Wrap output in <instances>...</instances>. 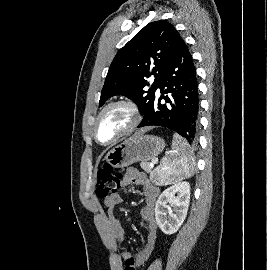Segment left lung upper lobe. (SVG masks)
Masks as SVG:
<instances>
[{
  "label": "left lung upper lobe",
  "mask_w": 267,
  "mask_h": 270,
  "mask_svg": "<svg viewBox=\"0 0 267 270\" xmlns=\"http://www.w3.org/2000/svg\"><path fill=\"white\" fill-rule=\"evenodd\" d=\"M177 30L167 21H155L142 28L113 59L99 105L115 95H124L145 115L159 88L167 67L181 42ZM154 75L152 83L146 78ZM151 85L148 91L143 88Z\"/></svg>",
  "instance_id": "left-lung-upper-lobe-1"
}]
</instances>
